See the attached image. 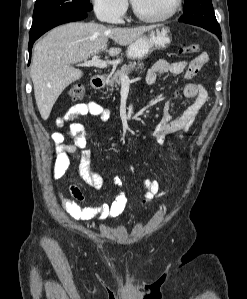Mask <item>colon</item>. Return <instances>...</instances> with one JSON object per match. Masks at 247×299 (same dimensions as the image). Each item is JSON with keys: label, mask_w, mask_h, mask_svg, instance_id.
I'll use <instances>...</instances> for the list:
<instances>
[{"label": "colon", "mask_w": 247, "mask_h": 299, "mask_svg": "<svg viewBox=\"0 0 247 299\" xmlns=\"http://www.w3.org/2000/svg\"><path fill=\"white\" fill-rule=\"evenodd\" d=\"M201 51V46L199 44L185 45L181 52L186 55H192L199 53ZM85 88L82 84H76L69 88L67 94L73 100H79L84 96Z\"/></svg>", "instance_id": "obj_1"}]
</instances>
